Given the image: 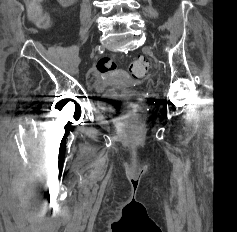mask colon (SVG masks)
<instances>
[{
	"instance_id": "colon-1",
	"label": "colon",
	"mask_w": 237,
	"mask_h": 232,
	"mask_svg": "<svg viewBox=\"0 0 237 232\" xmlns=\"http://www.w3.org/2000/svg\"><path fill=\"white\" fill-rule=\"evenodd\" d=\"M43 0H24L27 5L29 20L39 28H47L50 25V17L42 7ZM116 62L110 58H101L96 64V69L101 74H107L116 70ZM130 74L135 79H143L149 71V63L143 58H138L130 64ZM138 114L136 112L127 117L129 122H136Z\"/></svg>"
}]
</instances>
